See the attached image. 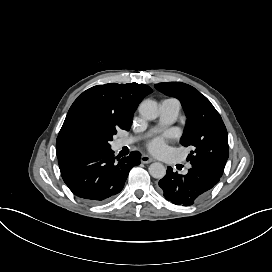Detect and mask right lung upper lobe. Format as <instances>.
Returning a JSON list of instances; mask_svg holds the SVG:
<instances>
[{"label":"right lung upper lobe","instance_id":"right-lung-upper-lobe-1","mask_svg":"<svg viewBox=\"0 0 272 272\" xmlns=\"http://www.w3.org/2000/svg\"><path fill=\"white\" fill-rule=\"evenodd\" d=\"M152 89L144 84L109 83L83 92L72 104L56 141L57 157L84 150L91 130H129L138 104Z\"/></svg>","mask_w":272,"mask_h":272}]
</instances>
